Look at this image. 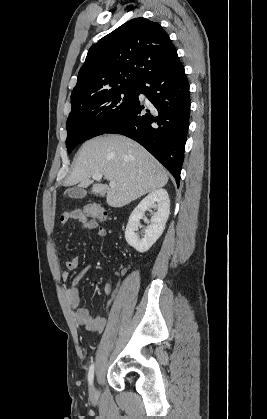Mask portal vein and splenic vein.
Instances as JSON below:
<instances>
[{
  "label": "portal vein and splenic vein",
  "instance_id": "portal-vein-and-splenic-vein-1",
  "mask_svg": "<svg viewBox=\"0 0 267 419\" xmlns=\"http://www.w3.org/2000/svg\"><path fill=\"white\" fill-rule=\"evenodd\" d=\"M102 174L101 173H96V174H93L92 175V178L94 179V180H100L101 178H102ZM111 187H115L116 186V183L115 182H110V184H109Z\"/></svg>",
  "mask_w": 267,
  "mask_h": 419
}]
</instances>
